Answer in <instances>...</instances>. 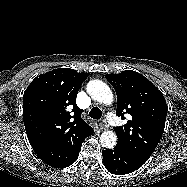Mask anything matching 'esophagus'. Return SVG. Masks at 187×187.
I'll list each match as a JSON object with an SVG mask.
<instances>
[{"mask_svg": "<svg viewBox=\"0 0 187 187\" xmlns=\"http://www.w3.org/2000/svg\"><path fill=\"white\" fill-rule=\"evenodd\" d=\"M99 127H100V129L105 130L107 128L106 121L105 120L100 121Z\"/></svg>", "mask_w": 187, "mask_h": 187, "instance_id": "1", "label": "esophagus"}]
</instances>
